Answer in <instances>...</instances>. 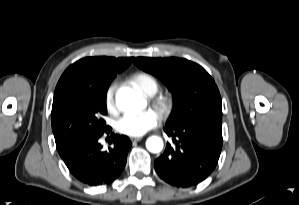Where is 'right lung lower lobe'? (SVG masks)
<instances>
[{
  "mask_svg": "<svg viewBox=\"0 0 299 205\" xmlns=\"http://www.w3.org/2000/svg\"><path fill=\"white\" fill-rule=\"evenodd\" d=\"M102 135L103 132L88 135L58 151L70 172L90 186L109 184L117 179L126 165L131 145L127 136L112 134V146L103 151L98 142Z\"/></svg>",
  "mask_w": 299,
  "mask_h": 205,
  "instance_id": "98d812e1",
  "label": "right lung lower lobe"
}]
</instances>
